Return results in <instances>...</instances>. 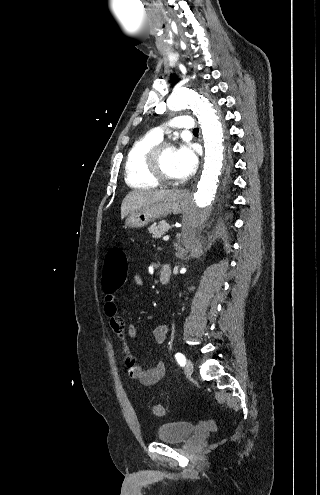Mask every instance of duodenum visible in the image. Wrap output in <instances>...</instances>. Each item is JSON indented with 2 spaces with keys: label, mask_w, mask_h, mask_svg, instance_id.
<instances>
[{
  "label": "duodenum",
  "mask_w": 320,
  "mask_h": 495,
  "mask_svg": "<svg viewBox=\"0 0 320 495\" xmlns=\"http://www.w3.org/2000/svg\"><path fill=\"white\" fill-rule=\"evenodd\" d=\"M172 277V269L168 264H164L160 271L159 281L162 285H167Z\"/></svg>",
  "instance_id": "obj_1"
}]
</instances>
